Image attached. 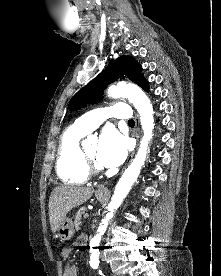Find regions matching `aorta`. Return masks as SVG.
I'll return each mask as SVG.
<instances>
[{
	"mask_svg": "<svg viewBox=\"0 0 221 276\" xmlns=\"http://www.w3.org/2000/svg\"><path fill=\"white\" fill-rule=\"evenodd\" d=\"M107 92L108 95L113 98H128V100L134 105L140 115V121L144 135L141 139L137 155L125 170L115 187L114 194L109 204V213L102 220L97 234L91 240L92 248L90 249V263L94 266L99 264V250L97 247L99 246V242L101 240V231L108 225L109 220L114 215V212L122 204L133 183L139 176L141 168L146 160L148 144L152 139V132L154 128L152 104L150 103V100L146 94L140 88L131 84L118 83L117 85L110 86Z\"/></svg>",
	"mask_w": 221,
	"mask_h": 276,
	"instance_id": "aorta-1",
	"label": "aorta"
}]
</instances>
